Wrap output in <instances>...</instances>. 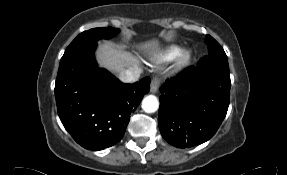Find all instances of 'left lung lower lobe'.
<instances>
[{
	"label": "left lung lower lobe",
	"instance_id": "left-lung-lower-lobe-1",
	"mask_svg": "<svg viewBox=\"0 0 287 175\" xmlns=\"http://www.w3.org/2000/svg\"><path fill=\"white\" fill-rule=\"evenodd\" d=\"M230 73L217 67H188L161 87L158 123L163 138L178 148L209 140L224 120Z\"/></svg>",
	"mask_w": 287,
	"mask_h": 175
}]
</instances>
